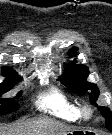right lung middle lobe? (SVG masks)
<instances>
[{"mask_svg":"<svg viewBox=\"0 0 112 135\" xmlns=\"http://www.w3.org/2000/svg\"><path fill=\"white\" fill-rule=\"evenodd\" d=\"M13 80H18V76H12ZM13 80H6L4 83L0 84V95L6 90L10 89L11 85L14 84ZM20 95V93H19ZM19 105L15 99H0V113L7 112L10 108H18Z\"/></svg>","mask_w":112,"mask_h":135,"instance_id":"1","label":"right lung middle lobe"}]
</instances>
